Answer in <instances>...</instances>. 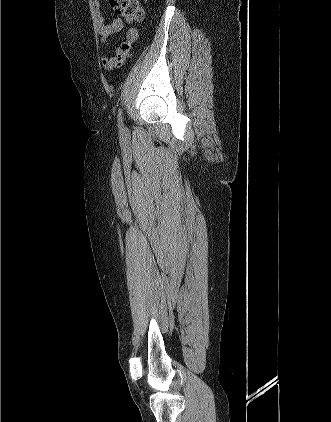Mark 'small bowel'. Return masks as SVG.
<instances>
[{
	"label": "small bowel",
	"instance_id": "1",
	"mask_svg": "<svg viewBox=\"0 0 331 422\" xmlns=\"http://www.w3.org/2000/svg\"><path fill=\"white\" fill-rule=\"evenodd\" d=\"M92 7L95 11V27L99 35V45L104 46L107 39L121 31L124 23L120 18H116L110 24H105L104 17L100 13L101 3L99 0H92ZM138 38V31L135 28L129 29L121 43L113 47L112 54H104L102 65L107 71H113L123 65L128 57L132 55L131 48Z\"/></svg>",
	"mask_w": 331,
	"mask_h": 422
}]
</instances>
